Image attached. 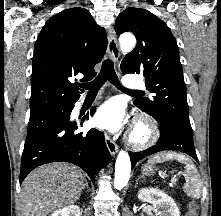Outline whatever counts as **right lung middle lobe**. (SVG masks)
<instances>
[{"label":"right lung middle lobe","instance_id":"1","mask_svg":"<svg viewBox=\"0 0 221 216\" xmlns=\"http://www.w3.org/2000/svg\"><path fill=\"white\" fill-rule=\"evenodd\" d=\"M66 113V106L30 115L26 141L35 138Z\"/></svg>","mask_w":221,"mask_h":216}]
</instances>
